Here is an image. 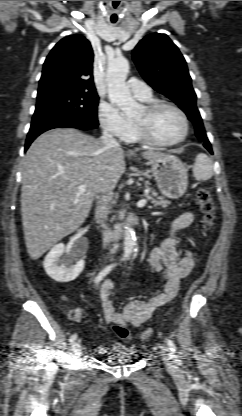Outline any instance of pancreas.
<instances>
[{
	"mask_svg": "<svg viewBox=\"0 0 242 416\" xmlns=\"http://www.w3.org/2000/svg\"><path fill=\"white\" fill-rule=\"evenodd\" d=\"M144 197L151 202V204L155 207L161 206L162 208H166L170 205V202L162 196H158L157 192L151 191V188L147 187V191L144 194Z\"/></svg>",
	"mask_w": 242,
	"mask_h": 416,
	"instance_id": "obj_1",
	"label": "pancreas"
}]
</instances>
